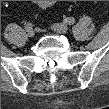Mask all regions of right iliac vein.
<instances>
[{
    "instance_id": "1",
    "label": "right iliac vein",
    "mask_w": 109,
    "mask_h": 109,
    "mask_svg": "<svg viewBox=\"0 0 109 109\" xmlns=\"http://www.w3.org/2000/svg\"><path fill=\"white\" fill-rule=\"evenodd\" d=\"M27 35H28L29 37H34L35 31H34L33 29H29V30H27Z\"/></svg>"
}]
</instances>
